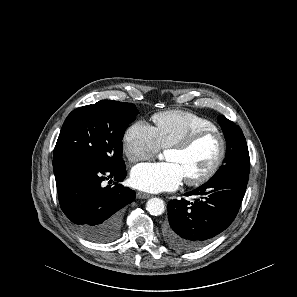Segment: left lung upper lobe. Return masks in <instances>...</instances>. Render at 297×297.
I'll use <instances>...</instances> for the list:
<instances>
[{"instance_id":"5c2ea615","label":"left lung upper lobe","mask_w":297,"mask_h":297,"mask_svg":"<svg viewBox=\"0 0 297 297\" xmlns=\"http://www.w3.org/2000/svg\"><path fill=\"white\" fill-rule=\"evenodd\" d=\"M226 140V158L224 165L212 177H248L250 172V158L245 137L239 126L225 116L218 117Z\"/></svg>"}]
</instances>
